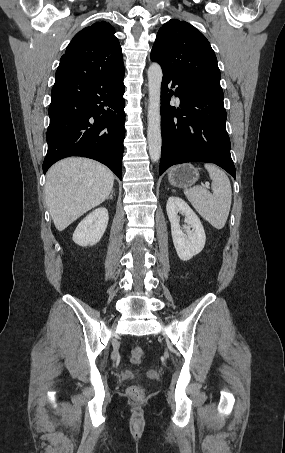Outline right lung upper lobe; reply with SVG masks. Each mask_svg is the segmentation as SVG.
I'll return each mask as SVG.
<instances>
[{
    "mask_svg": "<svg viewBox=\"0 0 285 453\" xmlns=\"http://www.w3.org/2000/svg\"><path fill=\"white\" fill-rule=\"evenodd\" d=\"M115 29L107 22H96L79 31L61 57L56 77L110 75L124 71L121 46Z\"/></svg>",
    "mask_w": 285,
    "mask_h": 453,
    "instance_id": "obj_1",
    "label": "right lung upper lobe"
}]
</instances>
